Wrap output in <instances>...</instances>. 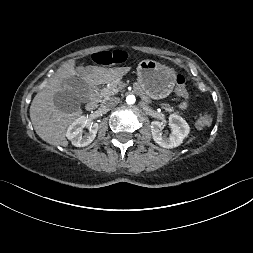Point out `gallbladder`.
Wrapping results in <instances>:
<instances>
[{
  "instance_id": "bac80fb5",
  "label": "gallbladder",
  "mask_w": 253,
  "mask_h": 253,
  "mask_svg": "<svg viewBox=\"0 0 253 253\" xmlns=\"http://www.w3.org/2000/svg\"><path fill=\"white\" fill-rule=\"evenodd\" d=\"M64 90L54 95V105L61 111L73 113L80 103L88 101L87 84L80 78L72 77L63 83Z\"/></svg>"
}]
</instances>
